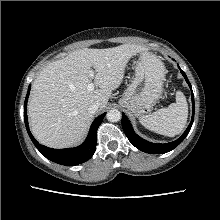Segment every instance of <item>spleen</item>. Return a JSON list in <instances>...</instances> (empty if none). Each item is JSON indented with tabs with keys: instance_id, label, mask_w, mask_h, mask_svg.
<instances>
[{
	"instance_id": "3e777b00",
	"label": "spleen",
	"mask_w": 220,
	"mask_h": 220,
	"mask_svg": "<svg viewBox=\"0 0 220 220\" xmlns=\"http://www.w3.org/2000/svg\"><path fill=\"white\" fill-rule=\"evenodd\" d=\"M188 117V105L181 91L176 93V102L159 109L151 115L140 116L139 122L155 133L174 137L182 132Z\"/></svg>"
}]
</instances>
